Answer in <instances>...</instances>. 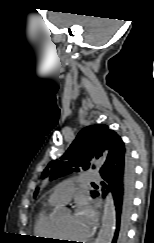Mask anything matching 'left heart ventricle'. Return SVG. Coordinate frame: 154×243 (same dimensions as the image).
<instances>
[{
  "label": "left heart ventricle",
  "instance_id": "b2bd125f",
  "mask_svg": "<svg viewBox=\"0 0 154 243\" xmlns=\"http://www.w3.org/2000/svg\"><path fill=\"white\" fill-rule=\"evenodd\" d=\"M63 235L66 238L79 240L86 237V234L82 231L80 226L73 221L71 215H66L57 221ZM74 243L75 241H70Z\"/></svg>",
  "mask_w": 154,
  "mask_h": 243
}]
</instances>
